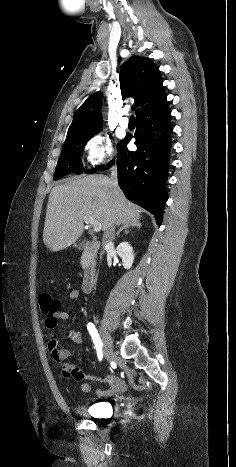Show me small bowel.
I'll list each match as a JSON object with an SVG mask.
<instances>
[{
  "label": "small bowel",
  "instance_id": "obj_1",
  "mask_svg": "<svg viewBox=\"0 0 236 467\" xmlns=\"http://www.w3.org/2000/svg\"><path fill=\"white\" fill-rule=\"evenodd\" d=\"M69 298L72 301L79 300V291L77 289H70L69 291ZM69 314L65 309H61L59 312L54 314L53 316H47L45 318V326L49 330H54L59 320H66L68 319ZM67 338L75 343L80 344L82 342V334L79 330H69L67 332ZM50 353L53 359L60 364L62 369V375L64 378L72 379L78 382H84L81 385V390L83 392H94V394L99 397H108L112 395L114 392L120 391L123 389L124 382L121 378L111 375H102V376H94L85 373L81 368L75 366L74 364L67 361V358L70 355V351L68 348L59 347L56 339L51 337L48 343ZM89 382H103L108 384L107 389H98L93 388V386Z\"/></svg>",
  "mask_w": 236,
  "mask_h": 467
}]
</instances>
